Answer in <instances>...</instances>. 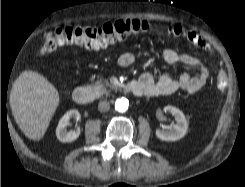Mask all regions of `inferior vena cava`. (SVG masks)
<instances>
[{"instance_id": "1", "label": "inferior vena cava", "mask_w": 245, "mask_h": 187, "mask_svg": "<svg viewBox=\"0 0 245 187\" xmlns=\"http://www.w3.org/2000/svg\"><path fill=\"white\" fill-rule=\"evenodd\" d=\"M110 109V104L107 101H100L98 104V110L100 112H107Z\"/></svg>"}]
</instances>
